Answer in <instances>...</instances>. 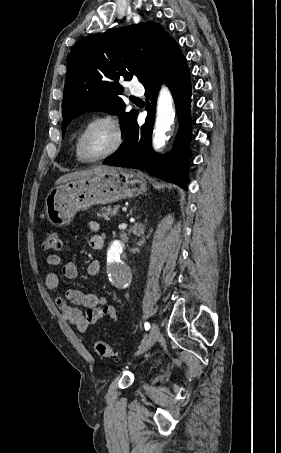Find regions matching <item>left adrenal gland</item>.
<instances>
[{"mask_svg": "<svg viewBox=\"0 0 281 453\" xmlns=\"http://www.w3.org/2000/svg\"><path fill=\"white\" fill-rule=\"evenodd\" d=\"M132 212H133V208H131V210H130V214H132Z\"/></svg>", "mask_w": 281, "mask_h": 453, "instance_id": "left-adrenal-gland-1", "label": "left adrenal gland"}]
</instances>
